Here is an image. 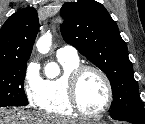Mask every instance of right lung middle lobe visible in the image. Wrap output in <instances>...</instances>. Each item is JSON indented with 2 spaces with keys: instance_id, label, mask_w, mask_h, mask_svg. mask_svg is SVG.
I'll return each mask as SVG.
<instances>
[{
  "instance_id": "obj_1",
  "label": "right lung middle lobe",
  "mask_w": 145,
  "mask_h": 124,
  "mask_svg": "<svg viewBox=\"0 0 145 124\" xmlns=\"http://www.w3.org/2000/svg\"><path fill=\"white\" fill-rule=\"evenodd\" d=\"M27 60L0 63V107L28 104L24 94Z\"/></svg>"
}]
</instances>
